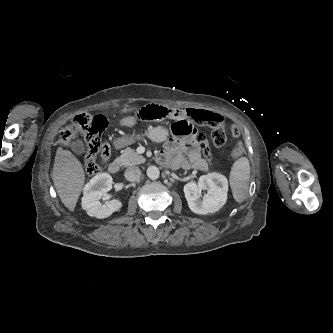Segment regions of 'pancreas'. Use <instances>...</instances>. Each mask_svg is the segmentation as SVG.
<instances>
[{
  "label": "pancreas",
  "mask_w": 333,
  "mask_h": 333,
  "mask_svg": "<svg viewBox=\"0 0 333 333\" xmlns=\"http://www.w3.org/2000/svg\"><path fill=\"white\" fill-rule=\"evenodd\" d=\"M117 161L125 167L135 166L143 163L145 158L139 155L134 149L127 147L117 158Z\"/></svg>",
  "instance_id": "pancreas-1"
}]
</instances>
